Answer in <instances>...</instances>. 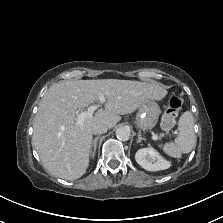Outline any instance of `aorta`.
Segmentation results:
<instances>
[{
	"label": "aorta",
	"instance_id": "1",
	"mask_svg": "<svg viewBox=\"0 0 223 223\" xmlns=\"http://www.w3.org/2000/svg\"><path fill=\"white\" fill-rule=\"evenodd\" d=\"M131 130L127 126L119 127L116 130V137L120 141H128L130 139Z\"/></svg>",
	"mask_w": 223,
	"mask_h": 223
}]
</instances>
